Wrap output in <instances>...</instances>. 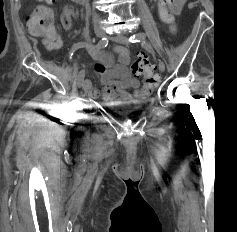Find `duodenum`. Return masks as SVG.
Returning a JSON list of instances; mask_svg holds the SVG:
<instances>
[{
    "instance_id": "duodenum-1",
    "label": "duodenum",
    "mask_w": 237,
    "mask_h": 232,
    "mask_svg": "<svg viewBox=\"0 0 237 232\" xmlns=\"http://www.w3.org/2000/svg\"><path fill=\"white\" fill-rule=\"evenodd\" d=\"M78 4H85L87 0H73Z\"/></svg>"
}]
</instances>
